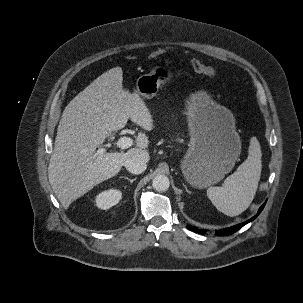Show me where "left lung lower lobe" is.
Listing matches in <instances>:
<instances>
[{
	"mask_svg": "<svg viewBox=\"0 0 303 303\" xmlns=\"http://www.w3.org/2000/svg\"><path fill=\"white\" fill-rule=\"evenodd\" d=\"M264 206H265V203L259 208L258 213L254 217H252L251 219L247 220L246 222L234 225V226L229 227V228L216 230L215 234L217 236H225V235H230V234L235 233L236 231H238L239 229H241L244 225H246L247 223L253 221L260 214V212L263 210ZM187 228L189 230L193 231V232H197V233L202 234V235H205L206 232H207V230L198 229L197 227H194L192 225H187Z\"/></svg>",
	"mask_w": 303,
	"mask_h": 303,
	"instance_id": "0a47b994",
	"label": "left lung lower lobe"
}]
</instances>
